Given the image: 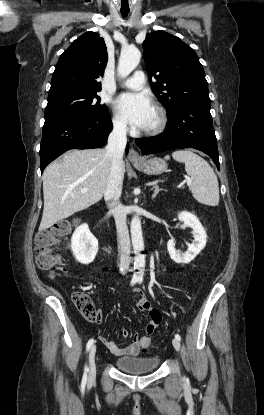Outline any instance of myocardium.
Masks as SVG:
<instances>
[{"mask_svg": "<svg viewBox=\"0 0 264 415\" xmlns=\"http://www.w3.org/2000/svg\"><path fill=\"white\" fill-rule=\"evenodd\" d=\"M154 110L157 113V122L153 127L144 129L142 132L143 135H146V136L157 135L161 133L167 125L168 119H167V113L165 109L162 106L156 105L154 107Z\"/></svg>", "mask_w": 264, "mask_h": 415, "instance_id": "obj_1", "label": "myocardium"}]
</instances>
